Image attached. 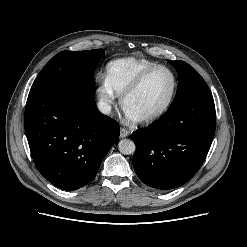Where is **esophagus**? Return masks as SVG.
<instances>
[{"mask_svg":"<svg viewBox=\"0 0 247 247\" xmlns=\"http://www.w3.org/2000/svg\"><path fill=\"white\" fill-rule=\"evenodd\" d=\"M130 134V131L126 128H121L120 130V137L124 138L127 137Z\"/></svg>","mask_w":247,"mask_h":247,"instance_id":"esophagus-1","label":"esophagus"}]
</instances>
